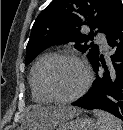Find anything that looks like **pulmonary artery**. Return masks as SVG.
<instances>
[{
    "mask_svg": "<svg viewBox=\"0 0 123 130\" xmlns=\"http://www.w3.org/2000/svg\"><path fill=\"white\" fill-rule=\"evenodd\" d=\"M97 40L101 44V47H102L103 50H108L107 41H106L105 37L102 34L97 35Z\"/></svg>",
    "mask_w": 123,
    "mask_h": 130,
    "instance_id": "pulmonary-artery-1",
    "label": "pulmonary artery"
}]
</instances>
